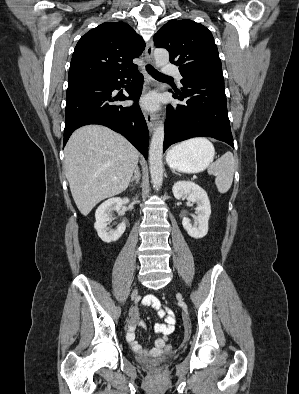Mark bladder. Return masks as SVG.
<instances>
[{"mask_svg":"<svg viewBox=\"0 0 299 394\" xmlns=\"http://www.w3.org/2000/svg\"><path fill=\"white\" fill-rule=\"evenodd\" d=\"M171 360H172V357H170V356H162L157 359H141L139 362L147 368H153V367H160V366L166 365Z\"/></svg>","mask_w":299,"mask_h":394,"instance_id":"1","label":"bladder"}]
</instances>
